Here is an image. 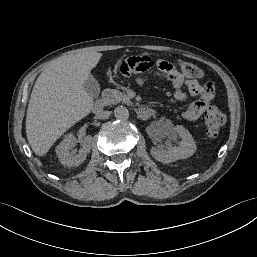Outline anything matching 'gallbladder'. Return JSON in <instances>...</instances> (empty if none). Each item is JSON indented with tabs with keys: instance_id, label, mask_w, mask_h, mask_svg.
Returning a JSON list of instances; mask_svg holds the SVG:
<instances>
[{
	"instance_id": "bac80fb5",
	"label": "gallbladder",
	"mask_w": 257,
	"mask_h": 257,
	"mask_svg": "<svg viewBox=\"0 0 257 257\" xmlns=\"http://www.w3.org/2000/svg\"><path fill=\"white\" fill-rule=\"evenodd\" d=\"M83 88L93 98L98 97L100 93V85L97 79L92 75H90L88 79L85 81V83L83 84Z\"/></svg>"
}]
</instances>
